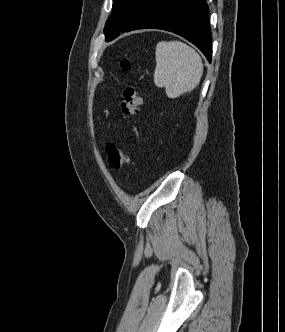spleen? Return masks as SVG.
Segmentation results:
<instances>
[{"mask_svg":"<svg viewBox=\"0 0 285 332\" xmlns=\"http://www.w3.org/2000/svg\"><path fill=\"white\" fill-rule=\"evenodd\" d=\"M203 63L199 54L181 41H161L156 45L154 83L165 87L169 98L193 90L200 82Z\"/></svg>","mask_w":285,"mask_h":332,"instance_id":"1","label":"spleen"}]
</instances>
